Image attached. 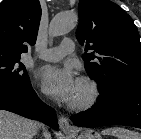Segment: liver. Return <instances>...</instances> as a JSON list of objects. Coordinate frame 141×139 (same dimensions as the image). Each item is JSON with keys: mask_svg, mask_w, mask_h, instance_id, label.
<instances>
[{"mask_svg": "<svg viewBox=\"0 0 141 139\" xmlns=\"http://www.w3.org/2000/svg\"><path fill=\"white\" fill-rule=\"evenodd\" d=\"M39 128L40 124L34 120L0 110V139H33Z\"/></svg>", "mask_w": 141, "mask_h": 139, "instance_id": "6515ba94", "label": "liver"}]
</instances>
